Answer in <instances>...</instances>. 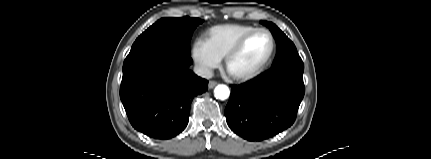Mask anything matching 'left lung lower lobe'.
<instances>
[{"label": "left lung lower lobe", "mask_w": 431, "mask_h": 159, "mask_svg": "<svg viewBox=\"0 0 431 159\" xmlns=\"http://www.w3.org/2000/svg\"><path fill=\"white\" fill-rule=\"evenodd\" d=\"M303 71L304 65L283 64L231 85L225 109L230 129L248 141H262L290 127L305 93Z\"/></svg>", "instance_id": "1"}]
</instances>
